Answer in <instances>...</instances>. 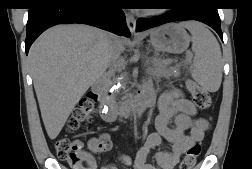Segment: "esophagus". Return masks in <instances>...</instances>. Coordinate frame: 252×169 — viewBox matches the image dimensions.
<instances>
[{
    "label": "esophagus",
    "mask_w": 252,
    "mask_h": 169,
    "mask_svg": "<svg viewBox=\"0 0 252 169\" xmlns=\"http://www.w3.org/2000/svg\"><path fill=\"white\" fill-rule=\"evenodd\" d=\"M126 22H127V26L130 30V32L133 34L136 31V19L134 18L133 15L127 13L126 14Z\"/></svg>",
    "instance_id": "esophagus-1"
}]
</instances>
